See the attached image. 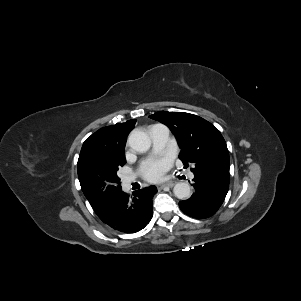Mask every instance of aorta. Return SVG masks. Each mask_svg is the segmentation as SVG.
<instances>
[{"mask_svg":"<svg viewBox=\"0 0 301 301\" xmlns=\"http://www.w3.org/2000/svg\"><path fill=\"white\" fill-rule=\"evenodd\" d=\"M129 146L140 153L146 152L151 146L149 136L142 131L134 130L130 133L128 138ZM173 192L179 199H188L191 196V188L185 182H179L174 186Z\"/></svg>","mask_w":301,"mask_h":301,"instance_id":"obj_1","label":"aorta"}]
</instances>
